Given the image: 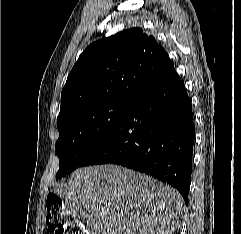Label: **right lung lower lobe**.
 I'll list each match as a JSON object with an SVG mask.
<instances>
[{
    "label": "right lung lower lobe",
    "mask_w": 241,
    "mask_h": 234,
    "mask_svg": "<svg viewBox=\"0 0 241 234\" xmlns=\"http://www.w3.org/2000/svg\"><path fill=\"white\" fill-rule=\"evenodd\" d=\"M195 126L175 68L135 100L119 125L80 167L114 163L175 187L188 204Z\"/></svg>",
    "instance_id": "obj_1"
}]
</instances>
